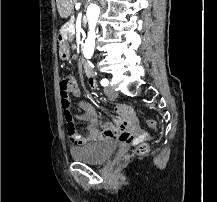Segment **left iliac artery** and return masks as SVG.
<instances>
[{
    "label": "left iliac artery",
    "mask_w": 217,
    "mask_h": 202,
    "mask_svg": "<svg viewBox=\"0 0 217 202\" xmlns=\"http://www.w3.org/2000/svg\"><path fill=\"white\" fill-rule=\"evenodd\" d=\"M100 83L102 86H108L109 81L107 79H102Z\"/></svg>",
    "instance_id": "left-iliac-artery-1"
}]
</instances>
